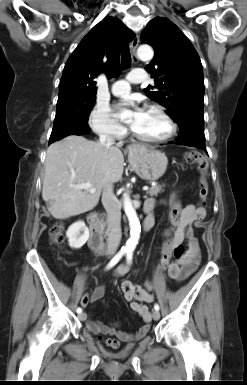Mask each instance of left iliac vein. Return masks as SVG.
I'll use <instances>...</instances> for the list:
<instances>
[{"label":"left iliac vein","mask_w":247,"mask_h":385,"mask_svg":"<svg viewBox=\"0 0 247 385\" xmlns=\"http://www.w3.org/2000/svg\"><path fill=\"white\" fill-rule=\"evenodd\" d=\"M152 317L154 320H159L160 318V313L158 310H154L153 313H152Z\"/></svg>","instance_id":"1"}]
</instances>
